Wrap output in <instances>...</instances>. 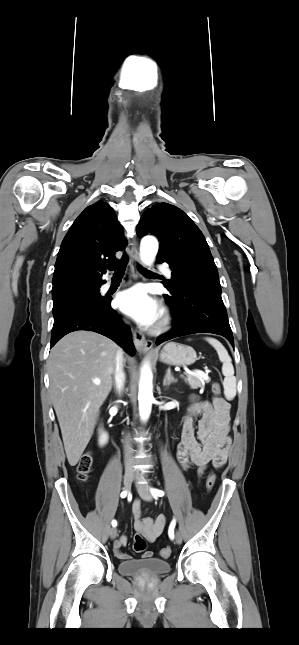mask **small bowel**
<instances>
[{"label":"small bowel","mask_w":299,"mask_h":645,"mask_svg":"<svg viewBox=\"0 0 299 645\" xmlns=\"http://www.w3.org/2000/svg\"><path fill=\"white\" fill-rule=\"evenodd\" d=\"M229 410V403L221 397L213 398L212 401L198 400L191 403L183 420L176 453L184 470H187L190 464H194L198 467V475L201 476L209 464L220 468L226 463L231 447ZM198 415L201 417L195 426L193 419ZM132 513L137 534L148 542L156 541L165 529L166 517H143L138 499L133 501ZM126 543L127 536L121 535L114 544L115 555L121 560L130 559V556L121 550ZM143 557H152V552H145Z\"/></svg>","instance_id":"1"}]
</instances>
